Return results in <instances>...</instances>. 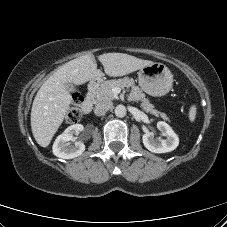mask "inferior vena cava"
<instances>
[{
	"label": "inferior vena cava",
	"mask_w": 227,
	"mask_h": 227,
	"mask_svg": "<svg viewBox=\"0 0 227 227\" xmlns=\"http://www.w3.org/2000/svg\"><path fill=\"white\" fill-rule=\"evenodd\" d=\"M113 107V103L109 100H103L96 104L94 113L97 116L105 115Z\"/></svg>",
	"instance_id": "inferior-vena-cava-1"
}]
</instances>
